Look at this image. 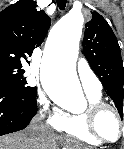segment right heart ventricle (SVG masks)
<instances>
[{
    "label": "right heart ventricle",
    "instance_id": "right-heart-ventricle-1",
    "mask_svg": "<svg viewBox=\"0 0 124 149\" xmlns=\"http://www.w3.org/2000/svg\"><path fill=\"white\" fill-rule=\"evenodd\" d=\"M89 102L102 101L101 93L86 92ZM58 130L80 142L100 146L102 143L95 139L87 130L84 114H67L65 121Z\"/></svg>",
    "mask_w": 124,
    "mask_h": 149
}]
</instances>
